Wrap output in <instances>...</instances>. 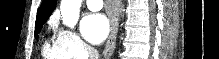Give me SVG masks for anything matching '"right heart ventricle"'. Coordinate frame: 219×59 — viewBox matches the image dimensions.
Segmentation results:
<instances>
[{
    "label": "right heart ventricle",
    "mask_w": 219,
    "mask_h": 59,
    "mask_svg": "<svg viewBox=\"0 0 219 59\" xmlns=\"http://www.w3.org/2000/svg\"><path fill=\"white\" fill-rule=\"evenodd\" d=\"M42 56L45 59H70L68 52L62 46L57 33L45 40L42 45Z\"/></svg>",
    "instance_id": "e07e8e85"
}]
</instances>
